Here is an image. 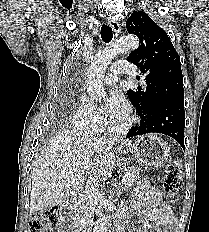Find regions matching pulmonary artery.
Listing matches in <instances>:
<instances>
[{"label":"pulmonary artery","mask_w":209,"mask_h":232,"mask_svg":"<svg viewBox=\"0 0 209 232\" xmlns=\"http://www.w3.org/2000/svg\"><path fill=\"white\" fill-rule=\"evenodd\" d=\"M131 73V66L126 61H117L111 66L110 72L105 75L104 82L107 85H114L118 81V75Z\"/></svg>","instance_id":"obj_1"}]
</instances>
